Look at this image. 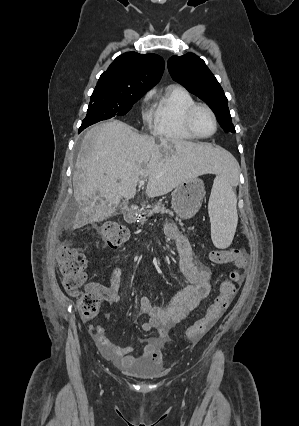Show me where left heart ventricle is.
<instances>
[{"instance_id": "left-heart-ventricle-1", "label": "left heart ventricle", "mask_w": 299, "mask_h": 426, "mask_svg": "<svg viewBox=\"0 0 299 426\" xmlns=\"http://www.w3.org/2000/svg\"><path fill=\"white\" fill-rule=\"evenodd\" d=\"M193 125L195 130L200 135H209L214 131V122L210 114L204 110H198L193 118Z\"/></svg>"}]
</instances>
